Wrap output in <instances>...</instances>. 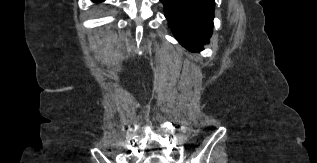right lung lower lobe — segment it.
<instances>
[{"label": "right lung lower lobe", "mask_w": 317, "mask_h": 163, "mask_svg": "<svg viewBox=\"0 0 317 163\" xmlns=\"http://www.w3.org/2000/svg\"><path fill=\"white\" fill-rule=\"evenodd\" d=\"M94 2H101V1H104V0H93Z\"/></svg>", "instance_id": "1"}]
</instances>
